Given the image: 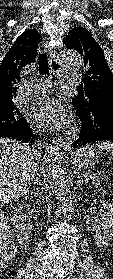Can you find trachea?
I'll return each instance as SVG.
<instances>
[{"label": "trachea", "mask_w": 113, "mask_h": 279, "mask_svg": "<svg viewBox=\"0 0 113 279\" xmlns=\"http://www.w3.org/2000/svg\"><path fill=\"white\" fill-rule=\"evenodd\" d=\"M39 72L41 75H49L48 57L46 52L39 53L38 56Z\"/></svg>", "instance_id": "obj_1"}]
</instances>
